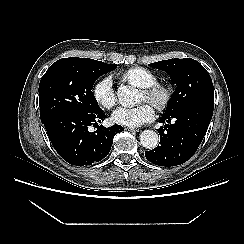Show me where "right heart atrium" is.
Wrapping results in <instances>:
<instances>
[{"instance_id":"obj_1","label":"right heart atrium","mask_w":244,"mask_h":244,"mask_svg":"<svg viewBox=\"0 0 244 244\" xmlns=\"http://www.w3.org/2000/svg\"><path fill=\"white\" fill-rule=\"evenodd\" d=\"M93 96L96 102L105 109H111L117 102L110 76L101 79L93 88Z\"/></svg>"}]
</instances>
